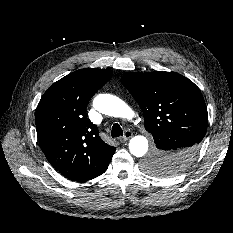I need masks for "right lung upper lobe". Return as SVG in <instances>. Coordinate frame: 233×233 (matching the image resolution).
Wrapping results in <instances>:
<instances>
[{
	"label": "right lung upper lobe",
	"mask_w": 233,
	"mask_h": 233,
	"mask_svg": "<svg viewBox=\"0 0 233 233\" xmlns=\"http://www.w3.org/2000/svg\"><path fill=\"white\" fill-rule=\"evenodd\" d=\"M112 77L108 69L85 68L55 82L36 109V131L49 163L70 179L98 174L115 147L104 143L86 114L92 96Z\"/></svg>",
	"instance_id": "obj_1"
}]
</instances>
